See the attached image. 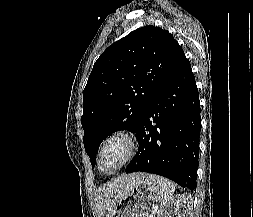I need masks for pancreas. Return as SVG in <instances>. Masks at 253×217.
<instances>
[{
    "instance_id": "cf45deb5",
    "label": "pancreas",
    "mask_w": 253,
    "mask_h": 217,
    "mask_svg": "<svg viewBox=\"0 0 253 217\" xmlns=\"http://www.w3.org/2000/svg\"><path fill=\"white\" fill-rule=\"evenodd\" d=\"M149 217H155L153 214H150Z\"/></svg>"
}]
</instances>
